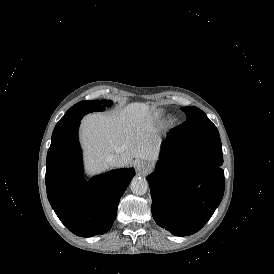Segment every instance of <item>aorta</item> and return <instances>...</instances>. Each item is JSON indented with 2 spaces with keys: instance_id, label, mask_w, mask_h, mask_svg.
<instances>
[{
  "instance_id": "1",
  "label": "aorta",
  "mask_w": 274,
  "mask_h": 274,
  "mask_svg": "<svg viewBox=\"0 0 274 274\" xmlns=\"http://www.w3.org/2000/svg\"><path fill=\"white\" fill-rule=\"evenodd\" d=\"M130 188L133 194L143 195L149 188L148 181L145 178L136 177L132 180Z\"/></svg>"
}]
</instances>
